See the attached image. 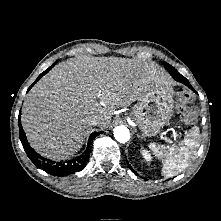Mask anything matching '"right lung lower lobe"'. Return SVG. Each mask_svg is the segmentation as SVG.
<instances>
[{
    "instance_id": "obj_1",
    "label": "right lung lower lobe",
    "mask_w": 221,
    "mask_h": 221,
    "mask_svg": "<svg viewBox=\"0 0 221 221\" xmlns=\"http://www.w3.org/2000/svg\"><path fill=\"white\" fill-rule=\"evenodd\" d=\"M56 64V63H55ZM49 67L46 71L41 73L39 77L36 79V81L28 88V91L31 89V87L40 80L42 76H44L48 71L53 67ZM21 111L19 112V117H18V124H19V133H20V140L23 145V148L27 154V156L30 158V160L34 163L35 166L38 168L43 169L45 172L55 175V176H66L75 172H78L82 170L90 157V151H91V143L94 140L96 136L101 134L102 132H94L90 135L88 144H87V149L85 152L80 155L79 157L70 160L69 162L66 163H55L49 159L43 158L41 155L36 153L29 145L26 135L24 133V130L21 125V119H20Z\"/></svg>"
}]
</instances>
